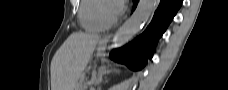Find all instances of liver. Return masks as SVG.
Returning a JSON list of instances; mask_svg holds the SVG:
<instances>
[{
    "label": "liver",
    "instance_id": "6515ba94",
    "mask_svg": "<svg viewBox=\"0 0 228 90\" xmlns=\"http://www.w3.org/2000/svg\"><path fill=\"white\" fill-rule=\"evenodd\" d=\"M100 37L74 32L55 53L51 62L52 90H74Z\"/></svg>",
    "mask_w": 228,
    "mask_h": 90
}]
</instances>
